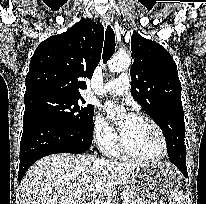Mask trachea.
<instances>
[{
  "label": "trachea",
  "instance_id": "3493384b",
  "mask_svg": "<svg viewBox=\"0 0 206 204\" xmlns=\"http://www.w3.org/2000/svg\"><path fill=\"white\" fill-rule=\"evenodd\" d=\"M115 34L110 25L106 28L105 42L103 48V63L106 64L115 51Z\"/></svg>",
  "mask_w": 206,
  "mask_h": 204
}]
</instances>
